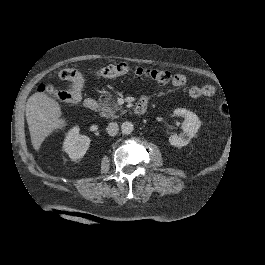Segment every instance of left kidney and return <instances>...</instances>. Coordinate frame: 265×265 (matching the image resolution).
Segmentation results:
<instances>
[{
    "label": "left kidney",
    "instance_id": "left-kidney-1",
    "mask_svg": "<svg viewBox=\"0 0 265 265\" xmlns=\"http://www.w3.org/2000/svg\"><path fill=\"white\" fill-rule=\"evenodd\" d=\"M174 115L184 117L185 119L182 123L183 134L180 136L177 134L170 136L169 142L173 146L182 147L187 145L195 136L201 126V122L195 113L184 108L175 109Z\"/></svg>",
    "mask_w": 265,
    "mask_h": 265
}]
</instances>
